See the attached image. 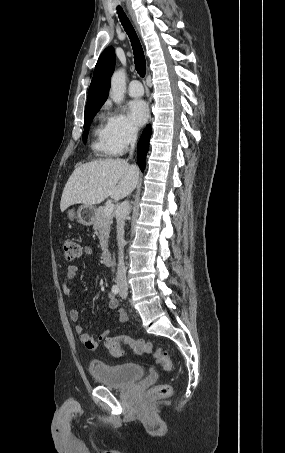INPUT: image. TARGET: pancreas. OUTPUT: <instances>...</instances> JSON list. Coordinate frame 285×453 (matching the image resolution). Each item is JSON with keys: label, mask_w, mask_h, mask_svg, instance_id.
Returning a JSON list of instances; mask_svg holds the SVG:
<instances>
[{"label": "pancreas", "mask_w": 285, "mask_h": 453, "mask_svg": "<svg viewBox=\"0 0 285 453\" xmlns=\"http://www.w3.org/2000/svg\"><path fill=\"white\" fill-rule=\"evenodd\" d=\"M113 222V215L106 214L104 207H99L95 212L93 228L99 231V240L101 249L106 251L108 248V239L110 235V227Z\"/></svg>", "instance_id": "1"}]
</instances>
